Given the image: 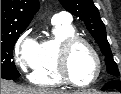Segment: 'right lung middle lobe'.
I'll return each mask as SVG.
<instances>
[{
  "mask_svg": "<svg viewBox=\"0 0 121 94\" xmlns=\"http://www.w3.org/2000/svg\"><path fill=\"white\" fill-rule=\"evenodd\" d=\"M24 30L8 31L1 33V78L13 80L20 76L13 58V48L15 42Z\"/></svg>",
  "mask_w": 121,
  "mask_h": 94,
  "instance_id": "dd1d6c3e",
  "label": "right lung middle lobe"
}]
</instances>
